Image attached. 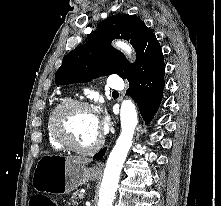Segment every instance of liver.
I'll return each instance as SVG.
<instances>
[{"label":"liver","instance_id":"1","mask_svg":"<svg viewBox=\"0 0 221 206\" xmlns=\"http://www.w3.org/2000/svg\"><path fill=\"white\" fill-rule=\"evenodd\" d=\"M72 161H74L75 163H79V164H88L90 163L92 160L91 159H86V158H82V157H69Z\"/></svg>","mask_w":221,"mask_h":206}]
</instances>
